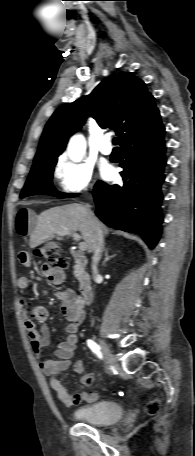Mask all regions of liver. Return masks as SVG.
<instances>
[{"mask_svg": "<svg viewBox=\"0 0 195 456\" xmlns=\"http://www.w3.org/2000/svg\"><path fill=\"white\" fill-rule=\"evenodd\" d=\"M102 234L109 233L108 228L97 219ZM79 231L87 245L88 253L93 252L95 242V225L86 206L73 203L53 207L43 211L38 217L34 230L30 234L29 245L32 249L55 236L63 237L66 232Z\"/></svg>", "mask_w": 195, "mask_h": 456, "instance_id": "liver-1", "label": "liver"}]
</instances>
